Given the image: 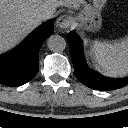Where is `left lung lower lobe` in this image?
<instances>
[{"label":"left lung lower lobe","instance_id":"obj_1","mask_svg":"<svg viewBox=\"0 0 128 128\" xmlns=\"http://www.w3.org/2000/svg\"><path fill=\"white\" fill-rule=\"evenodd\" d=\"M67 41L70 47V54L76 78L84 85L101 91L115 90L128 85V78L108 80L99 73L89 69L83 60L82 50L80 49V40L75 34L69 33Z\"/></svg>","mask_w":128,"mask_h":128}]
</instances>
